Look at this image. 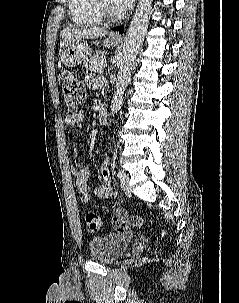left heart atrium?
<instances>
[{
  "instance_id": "1",
  "label": "left heart atrium",
  "mask_w": 239,
  "mask_h": 303,
  "mask_svg": "<svg viewBox=\"0 0 239 303\" xmlns=\"http://www.w3.org/2000/svg\"><path fill=\"white\" fill-rule=\"evenodd\" d=\"M132 2L133 0H112V3L119 11L128 9Z\"/></svg>"
}]
</instances>
